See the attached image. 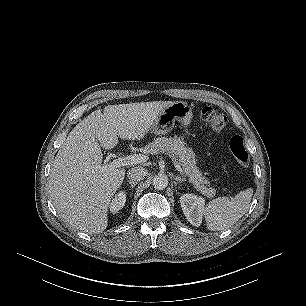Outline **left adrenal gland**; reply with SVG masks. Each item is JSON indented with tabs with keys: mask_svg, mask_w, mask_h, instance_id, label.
<instances>
[{
	"mask_svg": "<svg viewBox=\"0 0 306 306\" xmlns=\"http://www.w3.org/2000/svg\"><path fill=\"white\" fill-rule=\"evenodd\" d=\"M174 180H175V184H177L176 182H184L185 181L184 178H181L179 176L174 177Z\"/></svg>",
	"mask_w": 306,
	"mask_h": 306,
	"instance_id": "a2214340",
	"label": "left adrenal gland"
}]
</instances>
